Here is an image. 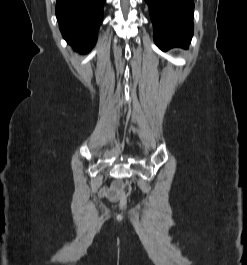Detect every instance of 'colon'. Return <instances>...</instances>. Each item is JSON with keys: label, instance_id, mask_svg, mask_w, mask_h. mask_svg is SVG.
I'll list each match as a JSON object with an SVG mask.
<instances>
[{"label": "colon", "instance_id": "colon-1", "mask_svg": "<svg viewBox=\"0 0 247 265\" xmlns=\"http://www.w3.org/2000/svg\"><path fill=\"white\" fill-rule=\"evenodd\" d=\"M131 191H132V187H131L130 183L123 182L121 184V196H120V200H119V205L121 207H124L126 205L128 197L131 194Z\"/></svg>", "mask_w": 247, "mask_h": 265}]
</instances>
